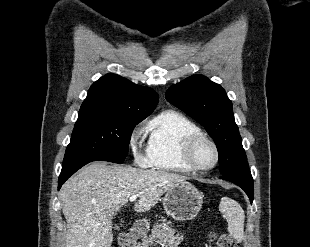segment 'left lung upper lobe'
Returning <instances> with one entry per match:
<instances>
[{
  "label": "left lung upper lobe",
  "mask_w": 310,
  "mask_h": 247,
  "mask_svg": "<svg viewBox=\"0 0 310 247\" xmlns=\"http://www.w3.org/2000/svg\"><path fill=\"white\" fill-rule=\"evenodd\" d=\"M166 99L205 127L217 146L222 175L249 169L232 102L219 84L193 75L170 87Z\"/></svg>",
  "instance_id": "5c2ea615"
}]
</instances>
